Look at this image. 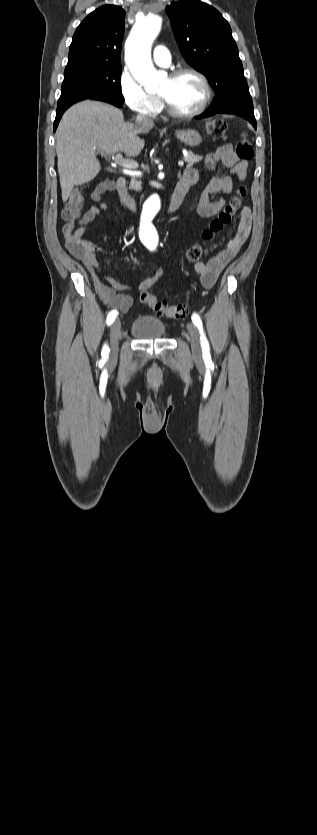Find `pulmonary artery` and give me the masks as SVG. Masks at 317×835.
<instances>
[{
  "label": "pulmonary artery",
  "mask_w": 317,
  "mask_h": 835,
  "mask_svg": "<svg viewBox=\"0 0 317 835\" xmlns=\"http://www.w3.org/2000/svg\"><path fill=\"white\" fill-rule=\"evenodd\" d=\"M153 60L161 66H168L171 63L169 50L163 45H157L153 50Z\"/></svg>",
  "instance_id": "obj_1"
}]
</instances>
